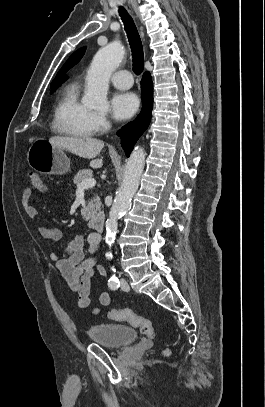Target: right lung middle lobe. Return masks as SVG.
Segmentation results:
<instances>
[{
    "instance_id": "obj_1",
    "label": "right lung middle lobe",
    "mask_w": 265,
    "mask_h": 407,
    "mask_svg": "<svg viewBox=\"0 0 265 407\" xmlns=\"http://www.w3.org/2000/svg\"><path fill=\"white\" fill-rule=\"evenodd\" d=\"M61 84L58 85H51V90L54 92Z\"/></svg>"
}]
</instances>
